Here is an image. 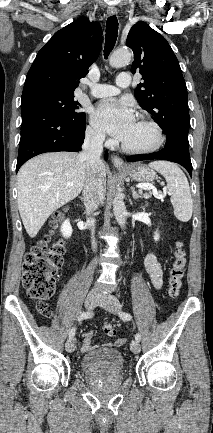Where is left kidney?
Instances as JSON below:
<instances>
[{"mask_svg":"<svg viewBox=\"0 0 213 433\" xmlns=\"http://www.w3.org/2000/svg\"><path fill=\"white\" fill-rule=\"evenodd\" d=\"M154 240L155 241L159 240V233L157 231L154 233Z\"/></svg>","mask_w":213,"mask_h":433,"instance_id":"5707ae66","label":"left kidney"}]
</instances>
